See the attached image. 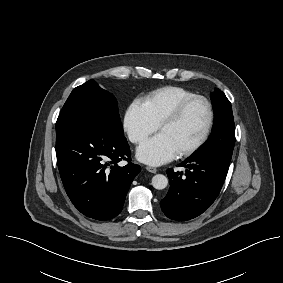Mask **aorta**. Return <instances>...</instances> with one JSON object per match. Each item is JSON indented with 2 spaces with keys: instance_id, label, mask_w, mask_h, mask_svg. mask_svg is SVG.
I'll list each match as a JSON object with an SVG mask.
<instances>
[{
  "instance_id": "obj_1",
  "label": "aorta",
  "mask_w": 283,
  "mask_h": 283,
  "mask_svg": "<svg viewBox=\"0 0 283 283\" xmlns=\"http://www.w3.org/2000/svg\"><path fill=\"white\" fill-rule=\"evenodd\" d=\"M168 185V178L162 174H157L152 178V186L157 190H162Z\"/></svg>"
}]
</instances>
